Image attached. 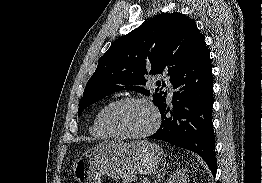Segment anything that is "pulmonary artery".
Returning <instances> with one entry per match:
<instances>
[{
  "label": "pulmonary artery",
  "mask_w": 262,
  "mask_h": 183,
  "mask_svg": "<svg viewBox=\"0 0 262 183\" xmlns=\"http://www.w3.org/2000/svg\"><path fill=\"white\" fill-rule=\"evenodd\" d=\"M166 87H167L169 98L171 99L174 91L173 86L171 83H167Z\"/></svg>",
  "instance_id": "1"
}]
</instances>
